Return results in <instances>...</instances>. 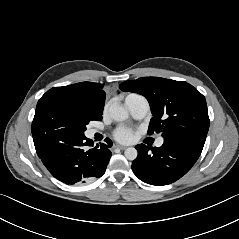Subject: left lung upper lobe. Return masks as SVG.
<instances>
[{"instance_id":"1","label":"left lung upper lobe","mask_w":239,"mask_h":239,"mask_svg":"<svg viewBox=\"0 0 239 239\" xmlns=\"http://www.w3.org/2000/svg\"><path fill=\"white\" fill-rule=\"evenodd\" d=\"M122 91L146 97L153 118L148 134L162 132L164 138L204 146L209 129L205 97L192 85L160 77H142L120 84Z\"/></svg>"}]
</instances>
